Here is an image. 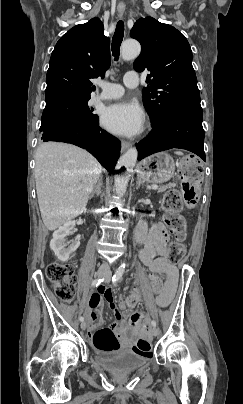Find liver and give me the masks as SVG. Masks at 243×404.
I'll list each match as a JSON object with an SVG mask.
<instances>
[{"label":"liver","instance_id":"1","mask_svg":"<svg viewBox=\"0 0 243 404\" xmlns=\"http://www.w3.org/2000/svg\"><path fill=\"white\" fill-rule=\"evenodd\" d=\"M35 162L43 224L47 230H56L86 210L102 166L86 150L62 142H42Z\"/></svg>","mask_w":243,"mask_h":404}]
</instances>
